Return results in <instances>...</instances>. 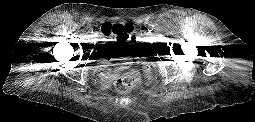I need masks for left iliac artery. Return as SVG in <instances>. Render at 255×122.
<instances>
[{
	"instance_id": "44dca946",
	"label": "left iliac artery",
	"mask_w": 255,
	"mask_h": 122,
	"mask_svg": "<svg viewBox=\"0 0 255 122\" xmlns=\"http://www.w3.org/2000/svg\"><path fill=\"white\" fill-rule=\"evenodd\" d=\"M153 28H154V24H149V26H148V31H152Z\"/></svg>"
}]
</instances>
